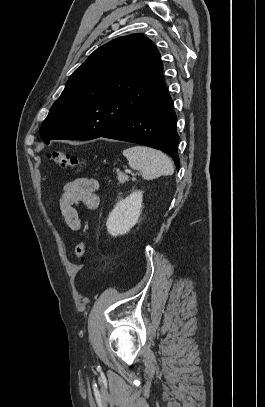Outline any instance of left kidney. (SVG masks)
Segmentation results:
<instances>
[{"mask_svg": "<svg viewBox=\"0 0 265 407\" xmlns=\"http://www.w3.org/2000/svg\"><path fill=\"white\" fill-rule=\"evenodd\" d=\"M143 192L134 191L120 200L113 208L106 222L110 235H124L138 222L142 210Z\"/></svg>", "mask_w": 265, "mask_h": 407, "instance_id": "left-kidney-1", "label": "left kidney"}]
</instances>
